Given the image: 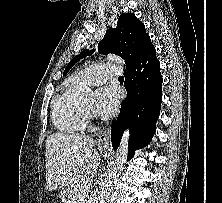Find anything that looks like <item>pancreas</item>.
Listing matches in <instances>:
<instances>
[{
  "label": "pancreas",
  "mask_w": 222,
  "mask_h": 203,
  "mask_svg": "<svg viewBox=\"0 0 222 203\" xmlns=\"http://www.w3.org/2000/svg\"><path fill=\"white\" fill-rule=\"evenodd\" d=\"M88 181L87 178H83L75 185V189L73 191L72 197L78 198L81 196L83 192H86V189L84 188L85 182Z\"/></svg>",
  "instance_id": "obj_1"
}]
</instances>
